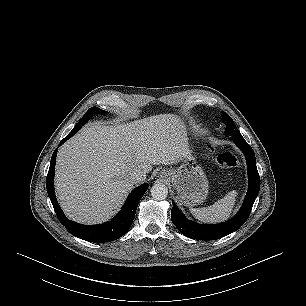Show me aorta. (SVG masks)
<instances>
[{
	"mask_svg": "<svg viewBox=\"0 0 306 306\" xmlns=\"http://www.w3.org/2000/svg\"><path fill=\"white\" fill-rule=\"evenodd\" d=\"M168 195L167 187L162 183H156L151 188V196L155 200H164Z\"/></svg>",
	"mask_w": 306,
	"mask_h": 306,
	"instance_id": "aorta-1",
	"label": "aorta"
}]
</instances>
